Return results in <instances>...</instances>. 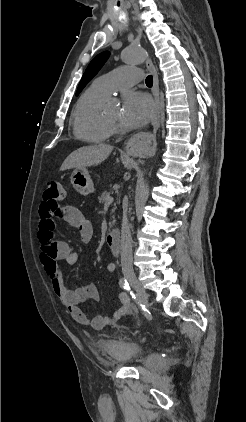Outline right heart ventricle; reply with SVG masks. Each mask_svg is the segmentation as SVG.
<instances>
[{"label": "right heart ventricle", "instance_id": "e07e8e85", "mask_svg": "<svg viewBox=\"0 0 246 422\" xmlns=\"http://www.w3.org/2000/svg\"><path fill=\"white\" fill-rule=\"evenodd\" d=\"M107 96L93 85L82 93L72 114L73 132L77 138L97 144L110 137L111 127L105 123L101 112Z\"/></svg>", "mask_w": 246, "mask_h": 422}]
</instances>
